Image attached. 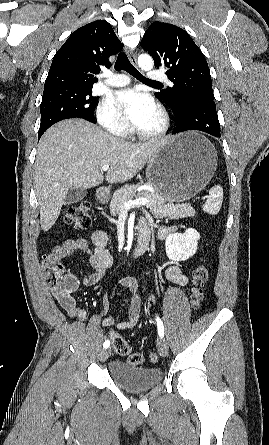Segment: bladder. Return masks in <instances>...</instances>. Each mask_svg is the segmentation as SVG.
<instances>
[{
  "label": "bladder",
  "mask_w": 269,
  "mask_h": 445,
  "mask_svg": "<svg viewBox=\"0 0 269 445\" xmlns=\"http://www.w3.org/2000/svg\"><path fill=\"white\" fill-rule=\"evenodd\" d=\"M108 370L113 382L129 391L148 390L160 382L162 375L159 368H141L119 360L110 362Z\"/></svg>",
  "instance_id": "bladder-1"
}]
</instances>
